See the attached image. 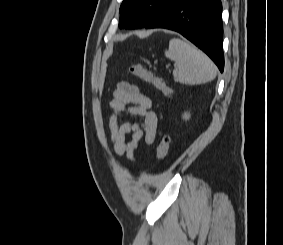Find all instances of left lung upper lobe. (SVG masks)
Segmentation results:
<instances>
[{"label":"left lung upper lobe","instance_id":"5c2ea615","mask_svg":"<svg viewBox=\"0 0 283 245\" xmlns=\"http://www.w3.org/2000/svg\"><path fill=\"white\" fill-rule=\"evenodd\" d=\"M173 0H123L120 27L142 28L160 15ZM133 13V15H130Z\"/></svg>","mask_w":283,"mask_h":245}]
</instances>
